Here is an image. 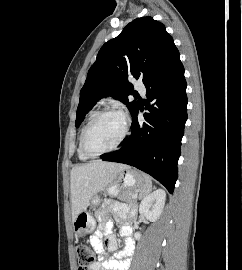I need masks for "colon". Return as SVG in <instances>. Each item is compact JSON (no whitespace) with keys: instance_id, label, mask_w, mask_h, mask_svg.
I'll return each instance as SVG.
<instances>
[{"instance_id":"5ec220e1","label":"colon","mask_w":242,"mask_h":270,"mask_svg":"<svg viewBox=\"0 0 242 270\" xmlns=\"http://www.w3.org/2000/svg\"><path fill=\"white\" fill-rule=\"evenodd\" d=\"M78 270H89L94 263L96 255L90 246L81 244L76 248Z\"/></svg>"}]
</instances>
